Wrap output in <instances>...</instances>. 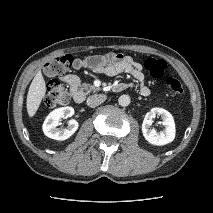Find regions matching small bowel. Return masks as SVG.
<instances>
[{"instance_id":"small-bowel-1","label":"small bowel","mask_w":213,"mask_h":213,"mask_svg":"<svg viewBox=\"0 0 213 213\" xmlns=\"http://www.w3.org/2000/svg\"><path fill=\"white\" fill-rule=\"evenodd\" d=\"M72 66L77 70L91 69L97 74H104L109 77L122 73L128 74L132 76L139 84L140 94L142 96L146 97L151 93L150 88L145 83L142 65L130 56L117 53L91 55L84 58L75 59ZM61 79L69 86L72 95L79 90L81 79L78 75L67 73L64 74Z\"/></svg>"}]
</instances>
